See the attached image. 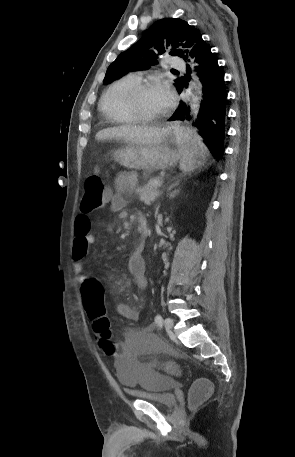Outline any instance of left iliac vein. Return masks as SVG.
Instances as JSON below:
<instances>
[{"label":"left iliac vein","instance_id":"1","mask_svg":"<svg viewBox=\"0 0 295 457\" xmlns=\"http://www.w3.org/2000/svg\"><path fill=\"white\" fill-rule=\"evenodd\" d=\"M173 326H174V322H173L172 319L166 318V319L164 320V327H165V329H166L167 332L172 333Z\"/></svg>","mask_w":295,"mask_h":457}]
</instances>
